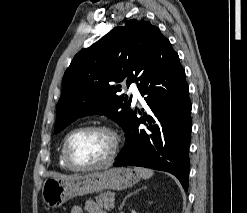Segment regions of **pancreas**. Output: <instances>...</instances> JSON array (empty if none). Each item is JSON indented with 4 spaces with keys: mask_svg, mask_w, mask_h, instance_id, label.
Returning <instances> with one entry per match:
<instances>
[{
    "mask_svg": "<svg viewBox=\"0 0 247 213\" xmlns=\"http://www.w3.org/2000/svg\"><path fill=\"white\" fill-rule=\"evenodd\" d=\"M114 194L112 192H104L95 197L97 205L104 209L108 210L110 208V203L113 201Z\"/></svg>",
    "mask_w": 247,
    "mask_h": 213,
    "instance_id": "cf45deb5",
    "label": "pancreas"
}]
</instances>
